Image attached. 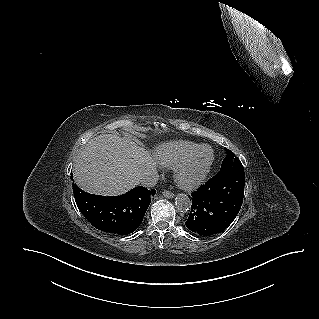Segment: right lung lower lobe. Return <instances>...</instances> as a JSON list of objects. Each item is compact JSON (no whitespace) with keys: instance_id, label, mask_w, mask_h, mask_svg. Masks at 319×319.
I'll list each match as a JSON object with an SVG mask.
<instances>
[{"instance_id":"right-lung-lower-lobe-1","label":"right lung lower lobe","mask_w":319,"mask_h":319,"mask_svg":"<svg viewBox=\"0 0 319 319\" xmlns=\"http://www.w3.org/2000/svg\"><path fill=\"white\" fill-rule=\"evenodd\" d=\"M73 179V178H71ZM80 212L95 228L104 232L127 235L141 224L156 191L139 186L120 196H99L73 185Z\"/></svg>"}]
</instances>
